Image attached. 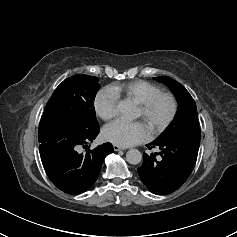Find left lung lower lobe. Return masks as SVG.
<instances>
[{"label": "left lung lower lobe", "mask_w": 237, "mask_h": 237, "mask_svg": "<svg viewBox=\"0 0 237 237\" xmlns=\"http://www.w3.org/2000/svg\"><path fill=\"white\" fill-rule=\"evenodd\" d=\"M200 141H156L149 143V149L159 147L160 153L143 154L144 160L137 169L139 177L154 194L165 195L174 192L190 176L198 155ZM160 155V158H156Z\"/></svg>", "instance_id": "1"}]
</instances>
